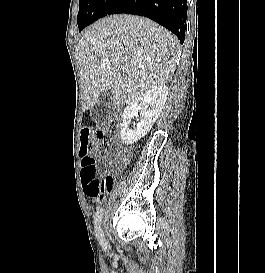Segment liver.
Masks as SVG:
<instances>
[{
	"label": "liver",
	"instance_id": "obj_1",
	"mask_svg": "<svg viewBox=\"0 0 265 273\" xmlns=\"http://www.w3.org/2000/svg\"><path fill=\"white\" fill-rule=\"evenodd\" d=\"M179 49L178 39L148 18L120 14L97 21L77 46L85 109L107 90H112L114 103L123 106L168 82Z\"/></svg>",
	"mask_w": 265,
	"mask_h": 273
}]
</instances>
